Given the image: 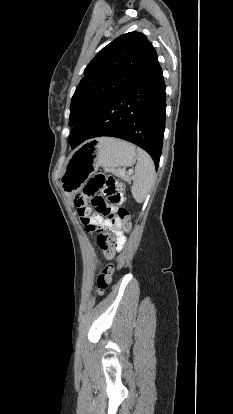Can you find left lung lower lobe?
<instances>
[{"label":"left lung lower lobe","mask_w":233,"mask_h":414,"mask_svg":"<svg viewBox=\"0 0 233 414\" xmlns=\"http://www.w3.org/2000/svg\"><path fill=\"white\" fill-rule=\"evenodd\" d=\"M165 83L158 60L138 80L106 101L69 137L72 148L100 136L127 140L152 157L156 169L165 129Z\"/></svg>","instance_id":"0a47b994"}]
</instances>
